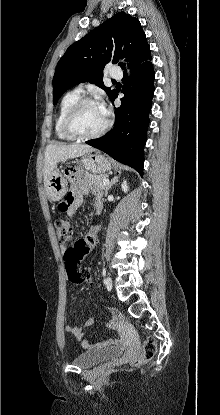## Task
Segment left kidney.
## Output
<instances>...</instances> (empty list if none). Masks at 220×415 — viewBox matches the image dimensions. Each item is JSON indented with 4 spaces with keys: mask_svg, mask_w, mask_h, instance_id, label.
Returning a JSON list of instances; mask_svg holds the SVG:
<instances>
[{
    "mask_svg": "<svg viewBox=\"0 0 220 415\" xmlns=\"http://www.w3.org/2000/svg\"><path fill=\"white\" fill-rule=\"evenodd\" d=\"M122 190L126 193V192H128V185H127V183H126V180L125 181H123V183H122Z\"/></svg>",
    "mask_w": 220,
    "mask_h": 415,
    "instance_id": "left-kidney-1",
    "label": "left kidney"
}]
</instances>
